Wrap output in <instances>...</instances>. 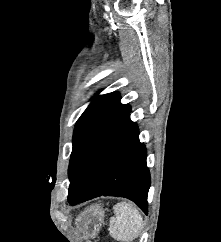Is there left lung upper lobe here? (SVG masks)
<instances>
[{"label":"left lung upper lobe","instance_id":"left-lung-upper-lobe-1","mask_svg":"<svg viewBox=\"0 0 221 242\" xmlns=\"http://www.w3.org/2000/svg\"><path fill=\"white\" fill-rule=\"evenodd\" d=\"M120 99L118 92L98 96L78 119L68 169L70 181L96 143L129 114L130 106L121 104Z\"/></svg>","mask_w":221,"mask_h":242}]
</instances>
